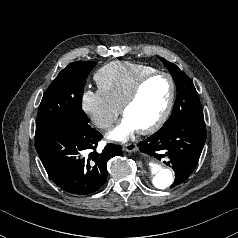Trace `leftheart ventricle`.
Here are the masks:
<instances>
[{"label":"left heart ventricle","instance_id":"left-heart-ventricle-1","mask_svg":"<svg viewBox=\"0 0 238 238\" xmlns=\"http://www.w3.org/2000/svg\"><path fill=\"white\" fill-rule=\"evenodd\" d=\"M170 94L169 82L156 77L146 83L137 100L126 110L128 117L138 129L155 122L163 112Z\"/></svg>","mask_w":238,"mask_h":238}]
</instances>
